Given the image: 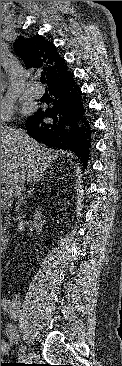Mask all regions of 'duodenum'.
<instances>
[{
    "label": "duodenum",
    "instance_id": "1",
    "mask_svg": "<svg viewBox=\"0 0 122 366\" xmlns=\"http://www.w3.org/2000/svg\"><path fill=\"white\" fill-rule=\"evenodd\" d=\"M7 241V238H6V235L2 229V226H1V248L4 246L5 242Z\"/></svg>",
    "mask_w": 122,
    "mask_h": 366
}]
</instances>
